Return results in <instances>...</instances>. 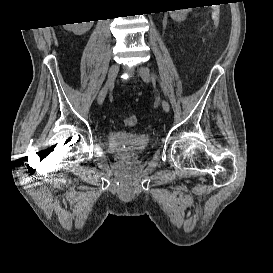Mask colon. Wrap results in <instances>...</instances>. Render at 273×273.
Segmentation results:
<instances>
[{"label": "colon", "mask_w": 273, "mask_h": 273, "mask_svg": "<svg viewBox=\"0 0 273 273\" xmlns=\"http://www.w3.org/2000/svg\"><path fill=\"white\" fill-rule=\"evenodd\" d=\"M124 123L126 126L132 127L135 126L137 124V118L135 115H127L124 119Z\"/></svg>", "instance_id": "1"}]
</instances>
